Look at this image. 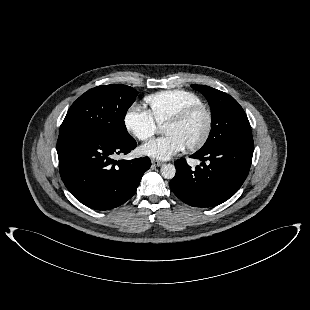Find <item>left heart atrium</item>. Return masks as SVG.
I'll list each match as a JSON object with an SVG mask.
<instances>
[{
  "label": "left heart atrium",
  "mask_w": 310,
  "mask_h": 310,
  "mask_svg": "<svg viewBox=\"0 0 310 310\" xmlns=\"http://www.w3.org/2000/svg\"><path fill=\"white\" fill-rule=\"evenodd\" d=\"M185 147L182 140L176 135L153 139L141 146L140 151L146 156L160 160H168Z\"/></svg>",
  "instance_id": "obj_1"
}]
</instances>
